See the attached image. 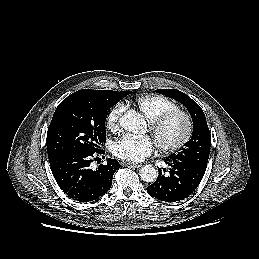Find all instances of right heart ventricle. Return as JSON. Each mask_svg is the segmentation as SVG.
<instances>
[{"mask_svg": "<svg viewBox=\"0 0 259 259\" xmlns=\"http://www.w3.org/2000/svg\"><path fill=\"white\" fill-rule=\"evenodd\" d=\"M135 104L149 121L163 112L177 108L172 100L161 95L140 96L135 100Z\"/></svg>", "mask_w": 259, "mask_h": 259, "instance_id": "e07e8e85", "label": "right heart ventricle"}]
</instances>
